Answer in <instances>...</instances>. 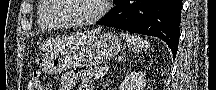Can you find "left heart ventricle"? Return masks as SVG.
<instances>
[{
	"label": "left heart ventricle",
	"instance_id": "b2bd125f",
	"mask_svg": "<svg viewBox=\"0 0 216 90\" xmlns=\"http://www.w3.org/2000/svg\"><path fill=\"white\" fill-rule=\"evenodd\" d=\"M68 1V9L61 13V18L67 22L83 21L94 16L100 9L99 0H62Z\"/></svg>",
	"mask_w": 216,
	"mask_h": 90
}]
</instances>
